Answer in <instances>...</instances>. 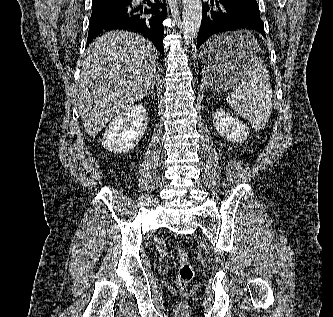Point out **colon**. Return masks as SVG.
<instances>
[{"label": "colon", "mask_w": 333, "mask_h": 317, "mask_svg": "<svg viewBox=\"0 0 333 317\" xmlns=\"http://www.w3.org/2000/svg\"><path fill=\"white\" fill-rule=\"evenodd\" d=\"M177 261L179 267L175 279V285L178 289L184 290L194 279L195 271L189 260L187 252L182 248L177 250Z\"/></svg>", "instance_id": "1"}]
</instances>
